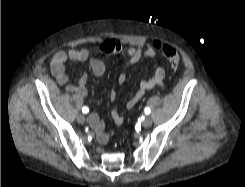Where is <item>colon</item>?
I'll return each mask as SVG.
<instances>
[{
	"instance_id": "5ec220e1",
	"label": "colon",
	"mask_w": 245,
	"mask_h": 187,
	"mask_svg": "<svg viewBox=\"0 0 245 187\" xmlns=\"http://www.w3.org/2000/svg\"><path fill=\"white\" fill-rule=\"evenodd\" d=\"M157 49L160 54H162L169 61L173 69H177L180 66V55L172 46L168 44H162L161 46H158Z\"/></svg>"
}]
</instances>
